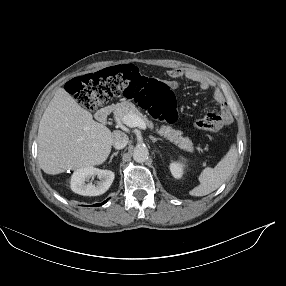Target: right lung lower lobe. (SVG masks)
Returning <instances> with one entry per match:
<instances>
[{
    "mask_svg": "<svg viewBox=\"0 0 286 286\" xmlns=\"http://www.w3.org/2000/svg\"><path fill=\"white\" fill-rule=\"evenodd\" d=\"M108 200V199H107ZM107 200L106 201H104L103 203H101V204H95L94 206H99V205H103L104 203H106L107 202Z\"/></svg>",
    "mask_w": 286,
    "mask_h": 286,
    "instance_id": "98d812e1",
    "label": "right lung lower lobe"
}]
</instances>
